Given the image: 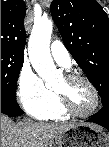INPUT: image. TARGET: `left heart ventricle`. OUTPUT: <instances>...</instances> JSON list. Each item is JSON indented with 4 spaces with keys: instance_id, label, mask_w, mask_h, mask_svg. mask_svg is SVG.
<instances>
[{
    "instance_id": "obj_1",
    "label": "left heart ventricle",
    "mask_w": 109,
    "mask_h": 147,
    "mask_svg": "<svg viewBox=\"0 0 109 147\" xmlns=\"http://www.w3.org/2000/svg\"><path fill=\"white\" fill-rule=\"evenodd\" d=\"M56 91L69 93L73 106L80 112H87L93 107V92L84 82L79 81L69 85L63 79Z\"/></svg>"
}]
</instances>
